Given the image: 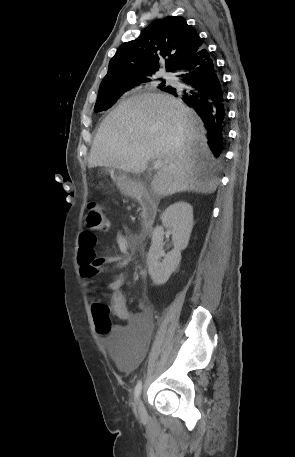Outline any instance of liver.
<instances>
[{
    "mask_svg": "<svg viewBox=\"0 0 295 457\" xmlns=\"http://www.w3.org/2000/svg\"><path fill=\"white\" fill-rule=\"evenodd\" d=\"M206 130L196 112L165 93H142L120 103L100 125L88 167L142 173L151 160L163 166L151 183L168 196L182 191L213 193L218 185Z\"/></svg>",
    "mask_w": 295,
    "mask_h": 457,
    "instance_id": "6515ba94",
    "label": "liver"
}]
</instances>
